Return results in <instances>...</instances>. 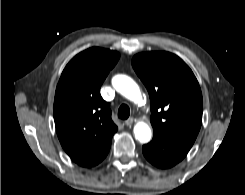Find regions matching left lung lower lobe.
Here are the masks:
<instances>
[{"instance_id": "obj_1", "label": "left lung lower lobe", "mask_w": 245, "mask_h": 195, "mask_svg": "<svg viewBox=\"0 0 245 195\" xmlns=\"http://www.w3.org/2000/svg\"><path fill=\"white\" fill-rule=\"evenodd\" d=\"M191 147L187 142L154 133L153 140L143 146V154L154 166L167 169L180 162Z\"/></svg>"}]
</instances>
